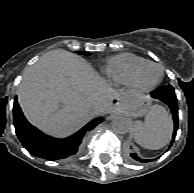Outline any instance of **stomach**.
<instances>
[{"label": "stomach", "mask_w": 194, "mask_h": 193, "mask_svg": "<svg viewBox=\"0 0 194 193\" xmlns=\"http://www.w3.org/2000/svg\"><path fill=\"white\" fill-rule=\"evenodd\" d=\"M150 105L149 98L141 95L129 102H124L123 100L119 99L115 103V108L117 111L124 113L129 117L136 118L146 114L150 109Z\"/></svg>", "instance_id": "1"}]
</instances>
